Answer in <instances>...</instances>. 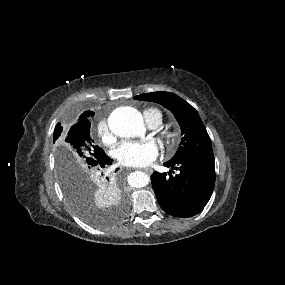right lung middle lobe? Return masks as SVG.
I'll return each mask as SVG.
<instances>
[{
  "instance_id": "right-lung-middle-lobe-1",
  "label": "right lung middle lobe",
  "mask_w": 285,
  "mask_h": 285,
  "mask_svg": "<svg viewBox=\"0 0 285 285\" xmlns=\"http://www.w3.org/2000/svg\"><path fill=\"white\" fill-rule=\"evenodd\" d=\"M62 130L63 127L58 123L54 139H59L57 171L69 205L88 224L95 227L111 225L95 207L94 199L97 191L111 187L110 182H113L114 188L116 186L112 178L106 180L99 166V160L105 152L90 137V122L86 119L73 125L67 132L62 133ZM117 219L119 216L113 217V220Z\"/></svg>"
}]
</instances>
